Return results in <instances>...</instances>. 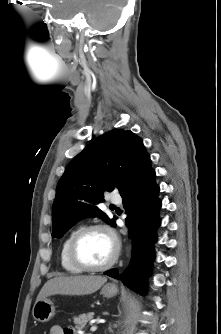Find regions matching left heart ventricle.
<instances>
[{
	"instance_id": "b2bd125f",
	"label": "left heart ventricle",
	"mask_w": 221,
	"mask_h": 334,
	"mask_svg": "<svg viewBox=\"0 0 221 334\" xmlns=\"http://www.w3.org/2000/svg\"><path fill=\"white\" fill-rule=\"evenodd\" d=\"M114 252L111 236L103 230L87 232L80 239L77 253L80 259L88 265H102L106 263Z\"/></svg>"
}]
</instances>
